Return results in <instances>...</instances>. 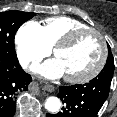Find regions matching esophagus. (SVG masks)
I'll use <instances>...</instances> for the list:
<instances>
[{
    "instance_id": "34e87169",
    "label": "esophagus",
    "mask_w": 117,
    "mask_h": 117,
    "mask_svg": "<svg viewBox=\"0 0 117 117\" xmlns=\"http://www.w3.org/2000/svg\"><path fill=\"white\" fill-rule=\"evenodd\" d=\"M32 88H34L36 91H40V90L47 91V92L53 91L52 86L50 85L39 86L38 83L36 82H33Z\"/></svg>"
}]
</instances>
